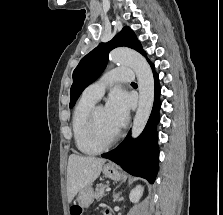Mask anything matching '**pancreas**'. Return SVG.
I'll return each instance as SVG.
<instances>
[{
    "label": "pancreas",
    "instance_id": "pancreas-1",
    "mask_svg": "<svg viewBox=\"0 0 223 215\" xmlns=\"http://www.w3.org/2000/svg\"><path fill=\"white\" fill-rule=\"evenodd\" d=\"M106 183H97L96 189H95V199H101L103 195H105V187H107Z\"/></svg>",
    "mask_w": 223,
    "mask_h": 215
}]
</instances>
